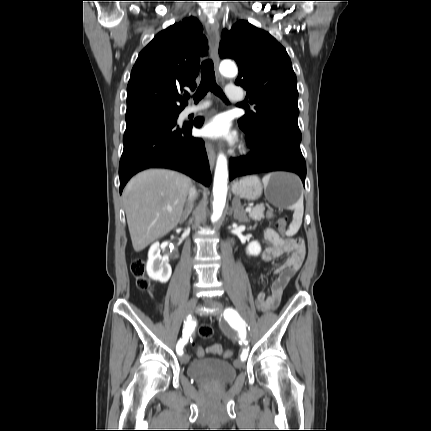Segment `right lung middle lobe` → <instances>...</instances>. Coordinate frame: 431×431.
I'll return each instance as SVG.
<instances>
[{
	"label": "right lung middle lobe",
	"mask_w": 431,
	"mask_h": 431,
	"mask_svg": "<svg viewBox=\"0 0 431 431\" xmlns=\"http://www.w3.org/2000/svg\"><path fill=\"white\" fill-rule=\"evenodd\" d=\"M180 112H172V113H163V114H158V115H153L141 120H137V121H132V122H126L127 125L142 121V120H146V119H155V118H178Z\"/></svg>",
	"instance_id": "dd1d6c3e"
}]
</instances>
